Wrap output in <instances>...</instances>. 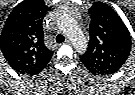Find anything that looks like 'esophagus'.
I'll return each instance as SVG.
<instances>
[{
	"mask_svg": "<svg viewBox=\"0 0 135 95\" xmlns=\"http://www.w3.org/2000/svg\"><path fill=\"white\" fill-rule=\"evenodd\" d=\"M65 43H66V44H70L71 42H70L69 39H66V40H65Z\"/></svg>",
	"mask_w": 135,
	"mask_h": 95,
	"instance_id": "esophagus-1",
	"label": "esophagus"
}]
</instances>
